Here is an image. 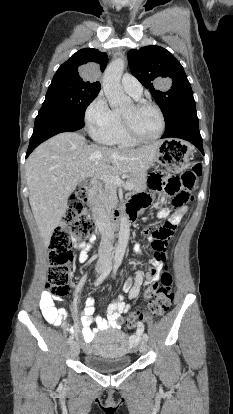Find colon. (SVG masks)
I'll use <instances>...</instances> for the list:
<instances>
[{"label": "colon", "mask_w": 233, "mask_h": 414, "mask_svg": "<svg viewBox=\"0 0 233 414\" xmlns=\"http://www.w3.org/2000/svg\"><path fill=\"white\" fill-rule=\"evenodd\" d=\"M202 175V165L193 162L191 168L181 176L164 172H154L148 177V187L153 191L163 190L173 196L172 204L178 208L192 200V191L197 179ZM87 197L85 188H78L65 213L62 224L55 230L49 247V270L47 290L57 298L68 292V281L72 275L73 252L75 240L90 236L93 224L86 216L83 198ZM174 232V227L166 225L152 234L153 262H165L166 246ZM173 278L168 269L162 273L160 283L147 288L144 297L149 300V314L154 317L162 316L173 302ZM145 318L142 312H135L122 317L119 321L126 331L134 329L138 322Z\"/></svg>", "instance_id": "colon-1"}]
</instances>
